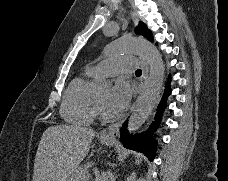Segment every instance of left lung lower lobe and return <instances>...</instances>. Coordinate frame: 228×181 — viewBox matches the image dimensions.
<instances>
[{"label":"left lung lower lobe","instance_id":"1","mask_svg":"<svg viewBox=\"0 0 228 181\" xmlns=\"http://www.w3.org/2000/svg\"><path fill=\"white\" fill-rule=\"evenodd\" d=\"M169 82H170V79L168 80L163 98L157 108V113L155 116L156 121L152 123V126L149 129V131H153L154 127L157 126L158 123L160 122L161 114L166 107V98L171 92ZM126 127H127V121L123 124V127L121 128L120 141L123 143V145L126 148L143 152L149 157V159H152L155 156L156 141L151 137L149 132L131 136L127 133Z\"/></svg>","mask_w":228,"mask_h":181}]
</instances>
